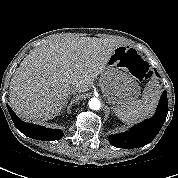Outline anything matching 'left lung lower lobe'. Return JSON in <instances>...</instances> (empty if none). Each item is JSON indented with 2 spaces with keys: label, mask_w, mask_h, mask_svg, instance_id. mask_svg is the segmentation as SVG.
<instances>
[{
  "label": "left lung lower lobe",
  "mask_w": 178,
  "mask_h": 178,
  "mask_svg": "<svg viewBox=\"0 0 178 178\" xmlns=\"http://www.w3.org/2000/svg\"><path fill=\"white\" fill-rule=\"evenodd\" d=\"M156 75L159 74L155 70ZM168 114L167 92L161 95L155 115L138 125L134 126L127 132L110 135L109 142L118 148H138L149 144L160 131L166 116Z\"/></svg>",
  "instance_id": "1"
}]
</instances>
